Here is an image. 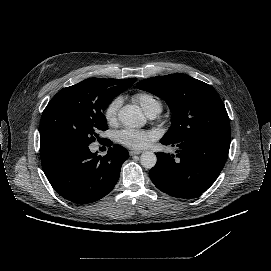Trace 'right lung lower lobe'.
Returning a JSON list of instances; mask_svg holds the SVG:
<instances>
[{
  "mask_svg": "<svg viewBox=\"0 0 271 271\" xmlns=\"http://www.w3.org/2000/svg\"><path fill=\"white\" fill-rule=\"evenodd\" d=\"M112 145V142L107 140ZM41 162L52 187L65 199L90 203L106 196L116 185L128 151L114 145L104 157L91 153L89 144L54 139L41 143Z\"/></svg>",
  "mask_w": 271,
  "mask_h": 271,
  "instance_id": "1",
  "label": "right lung lower lobe"
}]
</instances>
